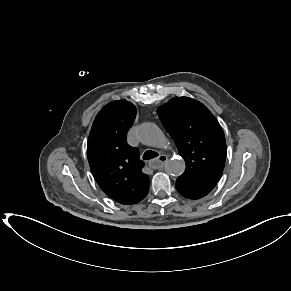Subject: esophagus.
I'll list each match as a JSON object with an SVG mask.
<instances>
[{
	"label": "esophagus",
	"instance_id": "34e87169",
	"mask_svg": "<svg viewBox=\"0 0 291 291\" xmlns=\"http://www.w3.org/2000/svg\"><path fill=\"white\" fill-rule=\"evenodd\" d=\"M167 160H168V157L165 154L159 155L157 158L153 159L150 162V166L153 169H159L164 166Z\"/></svg>",
	"mask_w": 291,
	"mask_h": 291
}]
</instances>
